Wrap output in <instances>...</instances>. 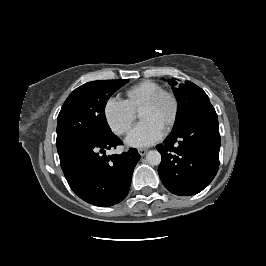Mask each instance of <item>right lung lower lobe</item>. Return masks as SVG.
Returning a JSON list of instances; mask_svg holds the SVG:
<instances>
[{
	"label": "right lung lower lobe",
	"instance_id": "obj_1",
	"mask_svg": "<svg viewBox=\"0 0 266 266\" xmlns=\"http://www.w3.org/2000/svg\"><path fill=\"white\" fill-rule=\"evenodd\" d=\"M118 145L122 141L112 133L76 145L59 156L70 188L87 203L108 207L121 202L128 194L140 155L135 148L120 155H106V150L116 149Z\"/></svg>",
	"mask_w": 266,
	"mask_h": 266
}]
</instances>
